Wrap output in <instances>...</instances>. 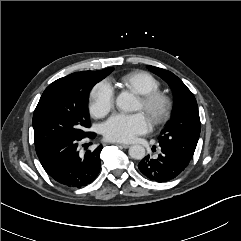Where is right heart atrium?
Instances as JSON below:
<instances>
[{"label":"right heart atrium","instance_id":"right-heart-atrium-1","mask_svg":"<svg viewBox=\"0 0 241 241\" xmlns=\"http://www.w3.org/2000/svg\"><path fill=\"white\" fill-rule=\"evenodd\" d=\"M114 106V91L107 81L97 83L90 93V112L95 117L107 115Z\"/></svg>","mask_w":241,"mask_h":241}]
</instances>
